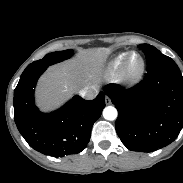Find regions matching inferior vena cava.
I'll list each match as a JSON object with an SVG mask.
<instances>
[{"instance_id":"1","label":"inferior vena cava","mask_w":183,"mask_h":183,"mask_svg":"<svg viewBox=\"0 0 183 183\" xmlns=\"http://www.w3.org/2000/svg\"><path fill=\"white\" fill-rule=\"evenodd\" d=\"M98 88L96 86H90L82 89L80 91V95L87 99V100H92L98 95Z\"/></svg>"}]
</instances>
